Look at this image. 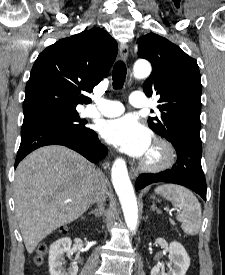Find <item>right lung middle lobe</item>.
Returning a JSON list of instances; mask_svg holds the SVG:
<instances>
[{
  "mask_svg": "<svg viewBox=\"0 0 225 275\" xmlns=\"http://www.w3.org/2000/svg\"><path fill=\"white\" fill-rule=\"evenodd\" d=\"M35 121L54 123L79 133H85V132L91 131L90 128L84 125V122L80 119L79 114L76 110L47 111V112L32 114V115L24 116L23 123H29V122H35Z\"/></svg>",
  "mask_w": 225,
  "mask_h": 275,
  "instance_id": "1",
  "label": "right lung middle lobe"
}]
</instances>
